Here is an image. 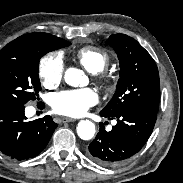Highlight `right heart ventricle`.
<instances>
[{
    "label": "right heart ventricle",
    "mask_w": 183,
    "mask_h": 183,
    "mask_svg": "<svg viewBox=\"0 0 183 183\" xmlns=\"http://www.w3.org/2000/svg\"><path fill=\"white\" fill-rule=\"evenodd\" d=\"M76 59L87 71L96 74L107 67L109 54L104 49L86 46L77 51Z\"/></svg>",
    "instance_id": "right-heart-ventricle-1"
}]
</instances>
